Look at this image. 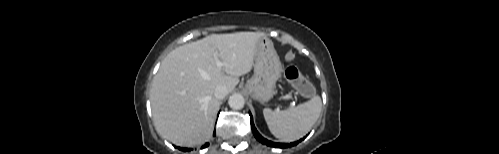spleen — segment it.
<instances>
[{"label": "spleen", "instance_id": "spleen-1", "mask_svg": "<svg viewBox=\"0 0 499 154\" xmlns=\"http://www.w3.org/2000/svg\"><path fill=\"white\" fill-rule=\"evenodd\" d=\"M322 110L321 98L316 95L309 101L286 110L263 109L270 132L278 139L292 142L306 135L318 120Z\"/></svg>", "mask_w": 499, "mask_h": 154}]
</instances>
